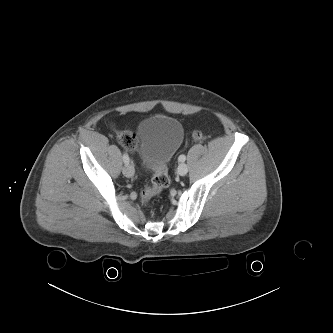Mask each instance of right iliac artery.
<instances>
[{
  "label": "right iliac artery",
  "instance_id": "82829eb1",
  "mask_svg": "<svg viewBox=\"0 0 333 333\" xmlns=\"http://www.w3.org/2000/svg\"><path fill=\"white\" fill-rule=\"evenodd\" d=\"M123 161L126 165L129 164L130 159L127 153L123 154Z\"/></svg>",
  "mask_w": 333,
  "mask_h": 333
}]
</instances>
